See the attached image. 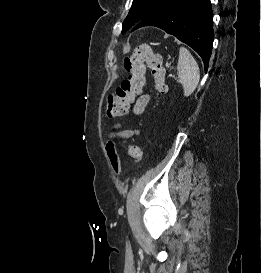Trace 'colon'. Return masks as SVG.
Returning a JSON list of instances; mask_svg holds the SVG:
<instances>
[{"label": "colon", "mask_w": 261, "mask_h": 273, "mask_svg": "<svg viewBox=\"0 0 261 273\" xmlns=\"http://www.w3.org/2000/svg\"><path fill=\"white\" fill-rule=\"evenodd\" d=\"M124 68L128 74L127 78L107 100L106 113L109 118H118L127 113L130 104L146 84L147 69L151 70L154 77L156 91L163 92L165 89L162 55L151 45L141 44L136 47L130 56L125 57ZM127 149L134 162L142 159L143 152L139 146L129 145Z\"/></svg>", "instance_id": "colon-1"}]
</instances>
